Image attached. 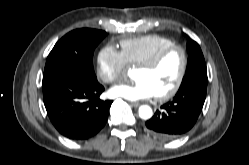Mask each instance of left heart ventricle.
<instances>
[{
	"label": "left heart ventricle",
	"instance_id": "left-heart-ventricle-1",
	"mask_svg": "<svg viewBox=\"0 0 249 165\" xmlns=\"http://www.w3.org/2000/svg\"><path fill=\"white\" fill-rule=\"evenodd\" d=\"M181 63V54L174 51L155 70L136 68L133 77L146 81L157 95L166 92L172 87L177 79Z\"/></svg>",
	"mask_w": 249,
	"mask_h": 165
}]
</instances>
